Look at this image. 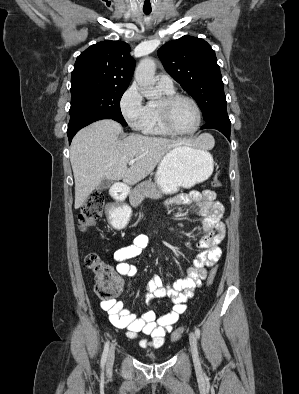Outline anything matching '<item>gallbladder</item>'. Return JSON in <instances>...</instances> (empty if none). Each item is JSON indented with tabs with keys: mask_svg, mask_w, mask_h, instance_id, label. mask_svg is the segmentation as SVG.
Wrapping results in <instances>:
<instances>
[{
	"mask_svg": "<svg viewBox=\"0 0 299 394\" xmlns=\"http://www.w3.org/2000/svg\"><path fill=\"white\" fill-rule=\"evenodd\" d=\"M112 184V181L110 179H103L99 186L97 187V190H105L108 189Z\"/></svg>",
	"mask_w": 299,
	"mask_h": 394,
	"instance_id": "gallbladder-1",
	"label": "gallbladder"
}]
</instances>
